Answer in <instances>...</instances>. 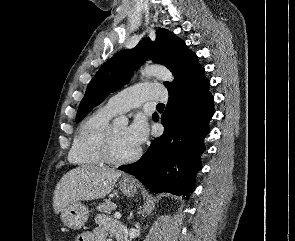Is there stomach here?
Wrapping results in <instances>:
<instances>
[{"mask_svg":"<svg viewBox=\"0 0 295 241\" xmlns=\"http://www.w3.org/2000/svg\"><path fill=\"white\" fill-rule=\"evenodd\" d=\"M137 185L135 181L121 180L119 182V188L121 192L126 196H134L137 191ZM61 220L63 224L71 229H81L88 220L89 210L80 202L69 204L61 210Z\"/></svg>","mask_w":295,"mask_h":241,"instance_id":"0dacf381","label":"stomach"}]
</instances>
